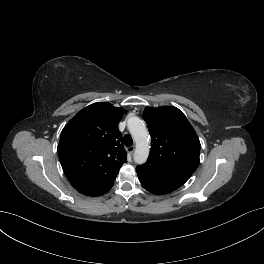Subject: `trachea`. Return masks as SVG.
I'll return each mask as SVG.
<instances>
[{"label":"trachea","mask_w":264,"mask_h":264,"mask_svg":"<svg viewBox=\"0 0 264 264\" xmlns=\"http://www.w3.org/2000/svg\"><path fill=\"white\" fill-rule=\"evenodd\" d=\"M124 145L130 147L133 145L132 137L129 134H126L123 138Z\"/></svg>","instance_id":"1"}]
</instances>
